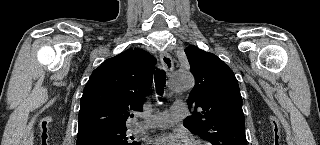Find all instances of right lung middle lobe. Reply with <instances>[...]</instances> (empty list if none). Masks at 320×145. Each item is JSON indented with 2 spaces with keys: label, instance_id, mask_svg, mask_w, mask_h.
<instances>
[{
  "label": "right lung middle lobe",
  "instance_id": "obj_1",
  "mask_svg": "<svg viewBox=\"0 0 320 145\" xmlns=\"http://www.w3.org/2000/svg\"><path fill=\"white\" fill-rule=\"evenodd\" d=\"M126 131V127L99 129L82 136H78V140L97 139L105 141L111 145H141L139 142L132 141L134 140V137L129 136Z\"/></svg>",
  "mask_w": 320,
  "mask_h": 145
}]
</instances>
